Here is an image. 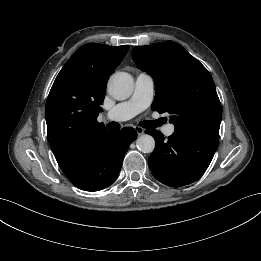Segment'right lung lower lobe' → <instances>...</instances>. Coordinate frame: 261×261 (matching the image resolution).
Segmentation results:
<instances>
[{"label": "right lung lower lobe", "mask_w": 261, "mask_h": 261, "mask_svg": "<svg viewBox=\"0 0 261 261\" xmlns=\"http://www.w3.org/2000/svg\"><path fill=\"white\" fill-rule=\"evenodd\" d=\"M136 137L137 133L131 127L106 132L86 161L66 176L75 186L86 191L108 187L116 180L124 155Z\"/></svg>", "instance_id": "98d812e1"}]
</instances>
